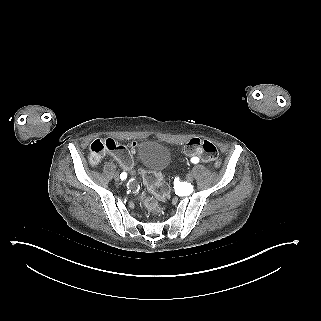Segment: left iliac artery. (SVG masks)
<instances>
[{"instance_id": "obj_1", "label": "left iliac artery", "mask_w": 321, "mask_h": 321, "mask_svg": "<svg viewBox=\"0 0 321 321\" xmlns=\"http://www.w3.org/2000/svg\"><path fill=\"white\" fill-rule=\"evenodd\" d=\"M191 162L194 163V164H196V163L199 162V159H198V158H192V159H191Z\"/></svg>"}]
</instances>
